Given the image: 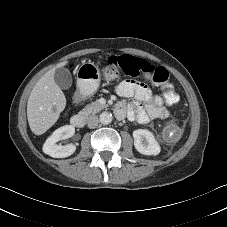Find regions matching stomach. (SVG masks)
I'll list each match as a JSON object with an SVG mask.
<instances>
[{"instance_id":"0dacf381","label":"stomach","mask_w":227,"mask_h":227,"mask_svg":"<svg viewBox=\"0 0 227 227\" xmlns=\"http://www.w3.org/2000/svg\"><path fill=\"white\" fill-rule=\"evenodd\" d=\"M108 81H113L119 78L118 68L115 66H107L100 69L93 63H83L78 70L77 85L80 92L85 96L93 95L100 85L101 76Z\"/></svg>"}]
</instances>
